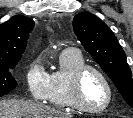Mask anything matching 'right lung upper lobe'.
Wrapping results in <instances>:
<instances>
[{
  "mask_svg": "<svg viewBox=\"0 0 133 118\" xmlns=\"http://www.w3.org/2000/svg\"><path fill=\"white\" fill-rule=\"evenodd\" d=\"M33 27L34 21L21 15L0 24V61L20 60Z\"/></svg>",
  "mask_w": 133,
  "mask_h": 118,
  "instance_id": "1",
  "label": "right lung upper lobe"
}]
</instances>
